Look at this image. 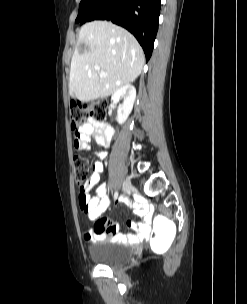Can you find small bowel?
Returning a JSON list of instances; mask_svg holds the SVG:
<instances>
[{
	"label": "small bowel",
	"instance_id": "obj_1",
	"mask_svg": "<svg viewBox=\"0 0 247 304\" xmlns=\"http://www.w3.org/2000/svg\"><path fill=\"white\" fill-rule=\"evenodd\" d=\"M113 137V129L104 122L89 120L75 134L74 145L83 150H90L91 141L102 147H108ZM99 160L93 165V172L84 185L83 195L79 194L80 208L91 221H97L91 231L85 233L84 238L89 242H97L107 238L115 242L139 243L148 240L151 232L152 211L142 201H137L134 205L135 213L143 217L142 222L129 221L128 226L135 230L136 234H120L119 226L116 222L100 217L107 211L111 199L107 194V185H100L101 173L104 165L103 160L107 157V152L102 150L96 153ZM85 159L84 157L82 158ZM98 185L94 194H91L93 187Z\"/></svg>",
	"mask_w": 247,
	"mask_h": 304
}]
</instances>
